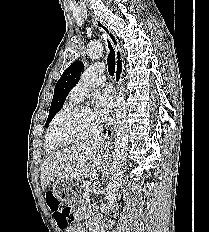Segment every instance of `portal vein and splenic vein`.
<instances>
[{
    "label": "portal vein and splenic vein",
    "instance_id": "18ae733b",
    "mask_svg": "<svg viewBox=\"0 0 209 232\" xmlns=\"http://www.w3.org/2000/svg\"><path fill=\"white\" fill-rule=\"evenodd\" d=\"M83 197H84L86 200H88L89 197H90L89 192H85V193L83 194Z\"/></svg>",
    "mask_w": 209,
    "mask_h": 232
}]
</instances>
